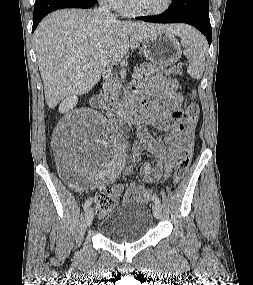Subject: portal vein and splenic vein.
Wrapping results in <instances>:
<instances>
[{"label": "portal vein and splenic vein", "instance_id": "portal-vein-and-splenic-vein-1", "mask_svg": "<svg viewBox=\"0 0 253 285\" xmlns=\"http://www.w3.org/2000/svg\"><path fill=\"white\" fill-rule=\"evenodd\" d=\"M132 77H133L134 79H139V78H142L143 76L140 74V72H135V73L132 75Z\"/></svg>", "mask_w": 253, "mask_h": 285}]
</instances>
